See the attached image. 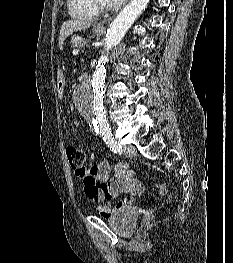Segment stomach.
Instances as JSON below:
<instances>
[{
	"mask_svg": "<svg viewBox=\"0 0 233 263\" xmlns=\"http://www.w3.org/2000/svg\"><path fill=\"white\" fill-rule=\"evenodd\" d=\"M102 32H103V30L98 29L97 27H94V29H93V33L95 35H101ZM54 81L57 82L56 87H57L58 91H65L66 88L69 87V84L66 83L62 72H60L59 77L54 78Z\"/></svg>",
	"mask_w": 233,
	"mask_h": 263,
	"instance_id": "0dacf381",
	"label": "stomach"
}]
</instances>
